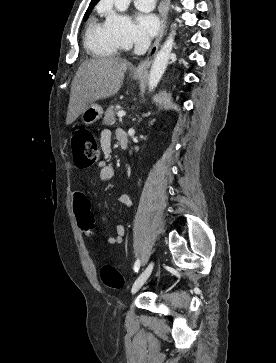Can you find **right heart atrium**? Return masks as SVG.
Masks as SVG:
<instances>
[{
    "mask_svg": "<svg viewBox=\"0 0 276 363\" xmlns=\"http://www.w3.org/2000/svg\"><path fill=\"white\" fill-rule=\"evenodd\" d=\"M107 24L124 49L144 44V39L138 34L132 21L125 15L107 7Z\"/></svg>",
    "mask_w": 276,
    "mask_h": 363,
    "instance_id": "d8ad5b80",
    "label": "right heart atrium"
}]
</instances>
